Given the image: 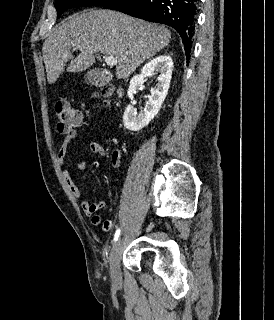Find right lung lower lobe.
<instances>
[{
  "label": "right lung lower lobe",
  "instance_id": "right-lung-lower-lobe-1",
  "mask_svg": "<svg viewBox=\"0 0 274 320\" xmlns=\"http://www.w3.org/2000/svg\"><path fill=\"white\" fill-rule=\"evenodd\" d=\"M103 8L173 27L182 38L186 58L189 60L198 0H111Z\"/></svg>",
  "mask_w": 274,
  "mask_h": 320
}]
</instances>
